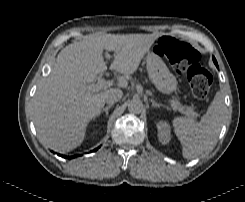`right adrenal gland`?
Returning a JSON list of instances; mask_svg holds the SVG:
<instances>
[{
  "instance_id": "obj_1",
  "label": "right adrenal gland",
  "mask_w": 245,
  "mask_h": 202,
  "mask_svg": "<svg viewBox=\"0 0 245 202\" xmlns=\"http://www.w3.org/2000/svg\"><path fill=\"white\" fill-rule=\"evenodd\" d=\"M113 106V104H109L106 107H103L102 110L99 112V114L97 115L98 117L105 112V115L107 116L109 113V109Z\"/></svg>"
}]
</instances>
